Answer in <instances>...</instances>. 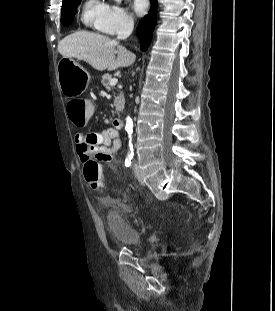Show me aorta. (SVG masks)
Masks as SVG:
<instances>
[{"mask_svg":"<svg viewBox=\"0 0 275 311\" xmlns=\"http://www.w3.org/2000/svg\"><path fill=\"white\" fill-rule=\"evenodd\" d=\"M115 1L120 2L121 0H115ZM125 130L127 131L128 136L130 138L129 146H130V149L132 150L131 136L133 133V121H132V118L130 116H127V118H126Z\"/></svg>","mask_w":275,"mask_h":311,"instance_id":"762f6f07","label":"aorta"}]
</instances>
